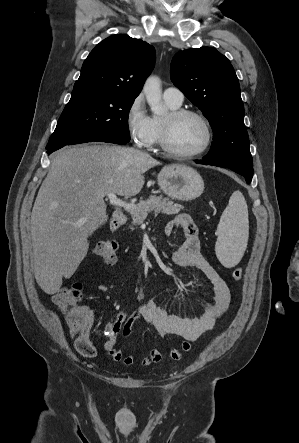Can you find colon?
<instances>
[{
  "instance_id": "1",
  "label": "colon",
  "mask_w": 299,
  "mask_h": 443,
  "mask_svg": "<svg viewBox=\"0 0 299 443\" xmlns=\"http://www.w3.org/2000/svg\"><path fill=\"white\" fill-rule=\"evenodd\" d=\"M117 242L113 239L101 240L94 246V254L107 264H113L116 259ZM243 276L241 268L232 271V278L236 281ZM82 299V285L74 283L61 288L54 296L53 302L56 308L64 316L70 332L76 336L84 334L89 329V323L82 314L79 304Z\"/></svg>"
}]
</instances>
